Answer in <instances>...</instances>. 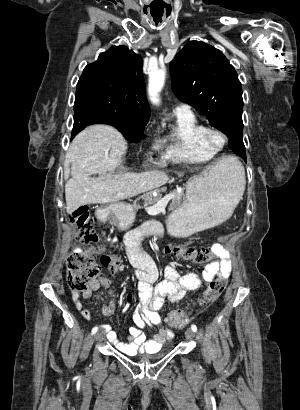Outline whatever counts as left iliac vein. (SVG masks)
<instances>
[{
	"mask_svg": "<svg viewBox=\"0 0 300 410\" xmlns=\"http://www.w3.org/2000/svg\"><path fill=\"white\" fill-rule=\"evenodd\" d=\"M185 336L188 340H192L194 338V331L192 329L188 328L185 331Z\"/></svg>",
	"mask_w": 300,
	"mask_h": 410,
	"instance_id": "4c4485c4",
	"label": "left iliac vein"
}]
</instances>
